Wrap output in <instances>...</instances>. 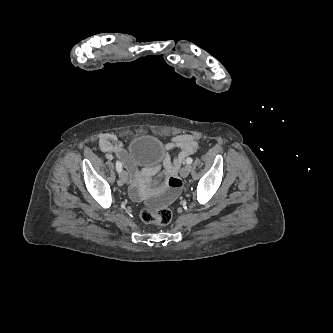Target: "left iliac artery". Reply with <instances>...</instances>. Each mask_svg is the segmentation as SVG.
I'll return each instance as SVG.
<instances>
[{"mask_svg":"<svg viewBox=\"0 0 333 333\" xmlns=\"http://www.w3.org/2000/svg\"><path fill=\"white\" fill-rule=\"evenodd\" d=\"M192 161H193L192 158H187V159H186V163H187V164H191Z\"/></svg>","mask_w":333,"mask_h":333,"instance_id":"1","label":"left iliac artery"}]
</instances>
